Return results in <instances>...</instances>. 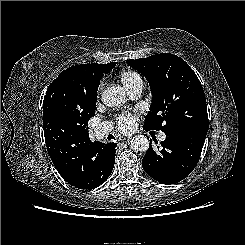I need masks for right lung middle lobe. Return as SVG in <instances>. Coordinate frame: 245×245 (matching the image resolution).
<instances>
[{"instance_id": "1", "label": "right lung middle lobe", "mask_w": 245, "mask_h": 245, "mask_svg": "<svg viewBox=\"0 0 245 245\" xmlns=\"http://www.w3.org/2000/svg\"><path fill=\"white\" fill-rule=\"evenodd\" d=\"M96 100H97V97H96ZM96 100H95V101H96ZM95 109H96V104H95ZM85 133H86L85 135H88V132H85Z\"/></svg>"}]
</instances>
